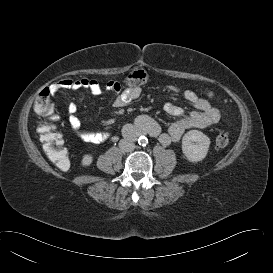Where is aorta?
Returning a JSON list of instances; mask_svg holds the SVG:
<instances>
[{
	"label": "aorta",
	"instance_id": "762f6f07",
	"mask_svg": "<svg viewBox=\"0 0 273 273\" xmlns=\"http://www.w3.org/2000/svg\"><path fill=\"white\" fill-rule=\"evenodd\" d=\"M138 142L143 145V144H145L146 139L144 137H140Z\"/></svg>",
	"mask_w": 273,
	"mask_h": 273
}]
</instances>
